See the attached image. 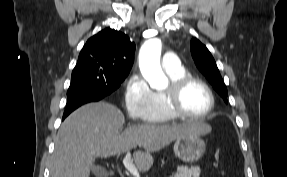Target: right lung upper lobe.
I'll return each mask as SVG.
<instances>
[{"instance_id":"cb5924a9","label":"right lung upper lobe","mask_w":287,"mask_h":177,"mask_svg":"<svg viewBox=\"0 0 287 177\" xmlns=\"http://www.w3.org/2000/svg\"><path fill=\"white\" fill-rule=\"evenodd\" d=\"M134 52L135 44L127 35L107 28L88 39L76 67L93 68L112 75H128Z\"/></svg>"}]
</instances>
